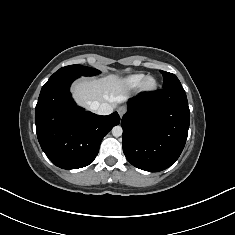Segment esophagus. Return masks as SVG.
Wrapping results in <instances>:
<instances>
[{"label": "esophagus", "mask_w": 235, "mask_h": 235, "mask_svg": "<svg viewBox=\"0 0 235 235\" xmlns=\"http://www.w3.org/2000/svg\"><path fill=\"white\" fill-rule=\"evenodd\" d=\"M117 112H118L119 116L122 117L127 112V108L125 106H120L117 109Z\"/></svg>", "instance_id": "34e87169"}]
</instances>
